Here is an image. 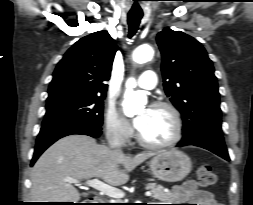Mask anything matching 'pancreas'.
Segmentation results:
<instances>
[{"instance_id": "pancreas-1", "label": "pancreas", "mask_w": 253, "mask_h": 205, "mask_svg": "<svg viewBox=\"0 0 253 205\" xmlns=\"http://www.w3.org/2000/svg\"><path fill=\"white\" fill-rule=\"evenodd\" d=\"M146 189L150 190L152 197L159 201H168L170 198V193L164 192L163 186L156 183H149L146 185ZM110 203H121L120 201H112Z\"/></svg>"}]
</instances>
